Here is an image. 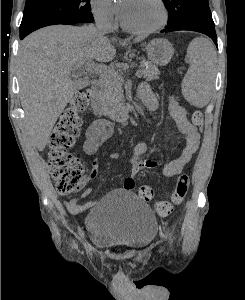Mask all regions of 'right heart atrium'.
Listing matches in <instances>:
<instances>
[{
	"instance_id": "right-heart-atrium-1",
	"label": "right heart atrium",
	"mask_w": 245,
	"mask_h": 300,
	"mask_svg": "<svg viewBox=\"0 0 245 300\" xmlns=\"http://www.w3.org/2000/svg\"><path fill=\"white\" fill-rule=\"evenodd\" d=\"M91 10L99 23L110 27L116 25L117 11L111 0H91Z\"/></svg>"
}]
</instances>
